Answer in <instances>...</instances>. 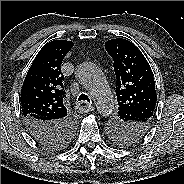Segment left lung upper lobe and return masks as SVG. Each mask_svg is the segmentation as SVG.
I'll return each instance as SVG.
<instances>
[{
  "label": "left lung upper lobe",
  "mask_w": 184,
  "mask_h": 184,
  "mask_svg": "<svg viewBox=\"0 0 184 184\" xmlns=\"http://www.w3.org/2000/svg\"><path fill=\"white\" fill-rule=\"evenodd\" d=\"M112 57L117 78V117L109 125V135L127 146L137 142L148 130L157 100L155 82L149 63L140 50L122 38L105 43Z\"/></svg>",
  "instance_id": "obj_1"
}]
</instances>
